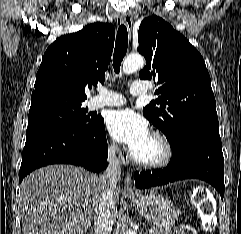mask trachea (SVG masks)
<instances>
[{
  "instance_id": "obj_1",
  "label": "trachea",
  "mask_w": 241,
  "mask_h": 234,
  "mask_svg": "<svg viewBox=\"0 0 241 234\" xmlns=\"http://www.w3.org/2000/svg\"><path fill=\"white\" fill-rule=\"evenodd\" d=\"M128 48V32L124 24L117 31L115 49L113 55V68L115 73L120 72V66Z\"/></svg>"
}]
</instances>
